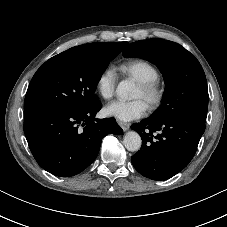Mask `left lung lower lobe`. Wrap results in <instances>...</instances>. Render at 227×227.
Segmentation results:
<instances>
[{"label":"left lung lower lobe","mask_w":227,"mask_h":227,"mask_svg":"<svg viewBox=\"0 0 227 227\" xmlns=\"http://www.w3.org/2000/svg\"><path fill=\"white\" fill-rule=\"evenodd\" d=\"M131 129L142 138L141 149L131 157L135 169L153 180H166L192 160L205 124L185 117L134 123ZM157 134H153V133Z\"/></svg>","instance_id":"left-lung-lower-lobe-1"}]
</instances>
